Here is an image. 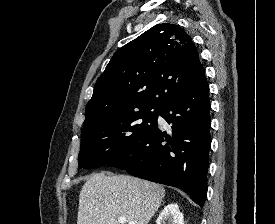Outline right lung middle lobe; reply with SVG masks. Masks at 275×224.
<instances>
[{"mask_svg":"<svg viewBox=\"0 0 275 224\" xmlns=\"http://www.w3.org/2000/svg\"><path fill=\"white\" fill-rule=\"evenodd\" d=\"M161 109H141L95 123L81 132L79 168L110 165L157 127Z\"/></svg>","mask_w":275,"mask_h":224,"instance_id":"1","label":"right lung middle lobe"}]
</instances>
